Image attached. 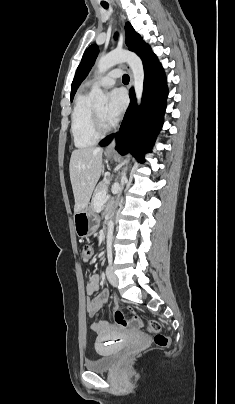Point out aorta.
Segmentation results:
<instances>
[{"label":"aorta","mask_w":235,"mask_h":404,"mask_svg":"<svg viewBox=\"0 0 235 404\" xmlns=\"http://www.w3.org/2000/svg\"><path fill=\"white\" fill-rule=\"evenodd\" d=\"M123 62H126L132 70L137 103L138 105H140L143 94L144 69L141 59L135 53L116 49L106 55H102L99 58L97 64L98 73L103 74L106 71H108L111 67ZM91 98L93 105L96 107L104 106L108 101V97L103 93V91L100 88H95L91 91ZM129 158L130 154L127 155V159L124 161L125 164H128ZM126 170L127 167H125L122 173L120 191H122L125 182L127 181ZM117 205L118 200L115 203V208L117 207ZM113 230H114V223L112 219H110L108 223V233H107V244L109 245L112 243Z\"/></svg>","instance_id":"aorta-1"}]
</instances>
